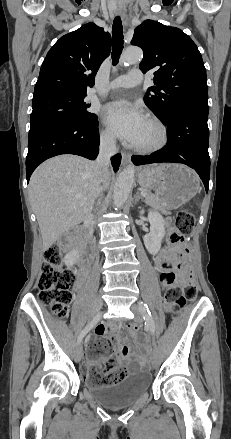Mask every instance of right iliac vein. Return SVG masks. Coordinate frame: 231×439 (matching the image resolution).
Segmentation results:
<instances>
[{
  "label": "right iliac vein",
  "instance_id": "obj_1",
  "mask_svg": "<svg viewBox=\"0 0 231 439\" xmlns=\"http://www.w3.org/2000/svg\"><path fill=\"white\" fill-rule=\"evenodd\" d=\"M103 305V301L101 298H97L93 305V320H100L101 319V308ZM83 356V348L82 344L79 343L75 350V361L80 362Z\"/></svg>",
  "mask_w": 231,
  "mask_h": 439
}]
</instances>
